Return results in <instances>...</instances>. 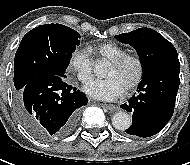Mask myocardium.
Instances as JSON below:
<instances>
[{"label":"myocardium","mask_w":190,"mask_h":165,"mask_svg":"<svg viewBox=\"0 0 190 165\" xmlns=\"http://www.w3.org/2000/svg\"><path fill=\"white\" fill-rule=\"evenodd\" d=\"M129 63L135 64L137 72L134 80L125 88V90L128 92L136 89L143 81L145 75V66L143 60L137 55L126 54L110 61V64L115 68H123Z\"/></svg>","instance_id":"myocardium-1"}]
</instances>
